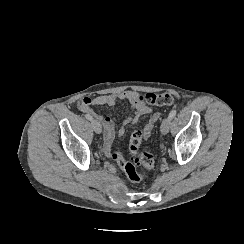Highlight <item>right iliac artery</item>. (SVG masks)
<instances>
[{"label":"right iliac artery","mask_w":244,"mask_h":244,"mask_svg":"<svg viewBox=\"0 0 244 244\" xmlns=\"http://www.w3.org/2000/svg\"><path fill=\"white\" fill-rule=\"evenodd\" d=\"M85 118L92 121L93 120V117L90 115V114H86L85 115Z\"/></svg>","instance_id":"right-iliac-artery-1"}]
</instances>
